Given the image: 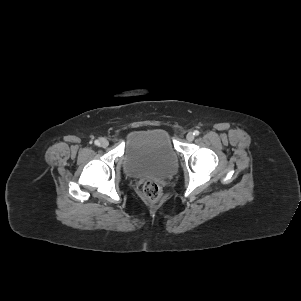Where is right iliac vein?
I'll list each match as a JSON object with an SVG mask.
<instances>
[{
    "mask_svg": "<svg viewBox=\"0 0 301 301\" xmlns=\"http://www.w3.org/2000/svg\"><path fill=\"white\" fill-rule=\"evenodd\" d=\"M109 145V142L106 138L99 139V146L102 148H106Z\"/></svg>",
    "mask_w": 301,
    "mask_h": 301,
    "instance_id": "63e3f726",
    "label": "right iliac vein"
}]
</instances>
